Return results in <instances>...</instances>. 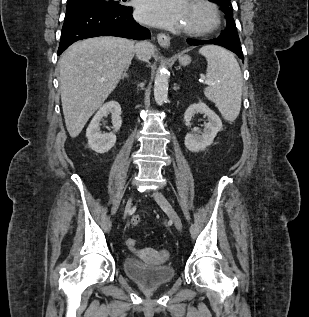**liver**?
I'll use <instances>...</instances> for the list:
<instances>
[{"instance_id":"obj_1","label":"liver","mask_w":309,"mask_h":317,"mask_svg":"<svg viewBox=\"0 0 309 317\" xmlns=\"http://www.w3.org/2000/svg\"><path fill=\"white\" fill-rule=\"evenodd\" d=\"M136 45L140 48L136 51ZM148 62L154 53L149 42L119 37H95L72 44L61 56L60 90L67 130L77 137L128 69L134 55Z\"/></svg>"}]
</instances>
